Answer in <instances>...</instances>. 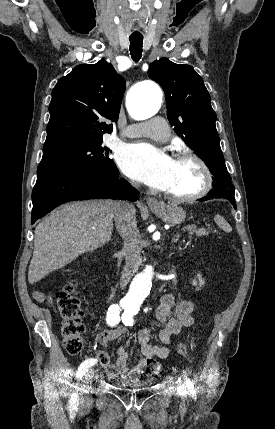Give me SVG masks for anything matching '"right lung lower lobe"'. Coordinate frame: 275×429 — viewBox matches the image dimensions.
Listing matches in <instances>:
<instances>
[{
	"label": "right lung lower lobe",
	"mask_w": 275,
	"mask_h": 429,
	"mask_svg": "<svg viewBox=\"0 0 275 429\" xmlns=\"http://www.w3.org/2000/svg\"><path fill=\"white\" fill-rule=\"evenodd\" d=\"M138 191L119 172H70L36 183L32 192V224L57 206L86 199H122L136 201Z\"/></svg>",
	"instance_id": "obj_1"
}]
</instances>
